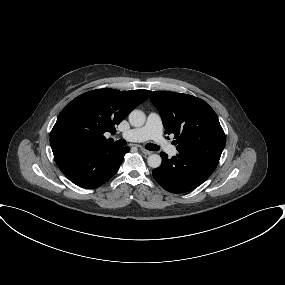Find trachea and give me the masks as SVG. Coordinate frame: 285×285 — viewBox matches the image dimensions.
<instances>
[{
	"label": "trachea",
	"mask_w": 285,
	"mask_h": 285,
	"mask_svg": "<svg viewBox=\"0 0 285 285\" xmlns=\"http://www.w3.org/2000/svg\"><path fill=\"white\" fill-rule=\"evenodd\" d=\"M116 143H117L118 146H125L126 145V141L123 140V139H119ZM145 148L147 150H151V151L159 150V146H157L156 144H152V143L146 144Z\"/></svg>",
	"instance_id": "3493384b"
}]
</instances>
